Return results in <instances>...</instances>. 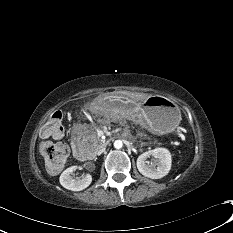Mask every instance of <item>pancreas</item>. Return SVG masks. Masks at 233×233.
<instances>
[{"label":"pancreas","mask_w":233,"mask_h":233,"mask_svg":"<svg viewBox=\"0 0 233 233\" xmlns=\"http://www.w3.org/2000/svg\"><path fill=\"white\" fill-rule=\"evenodd\" d=\"M93 139H94V146H97L98 140H97L96 136H93Z\"/></svg>","instance_id":"cf45deb5"}]
</instances>
